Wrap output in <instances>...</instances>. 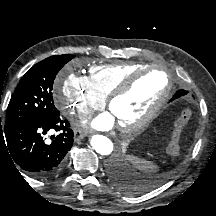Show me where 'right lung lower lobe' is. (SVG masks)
Wrapping results in <instances>:
<instances>
[{
  "instance_id": "1",
  "label": "right lung lower lobe",
  "mask_w": 216,
  "mask_h": 216,
  "mask_svg": "<svg viewBox=\"0 0 216 216\" xmlns=\"http://www.w3.org/2000/svg\"><path fill=\"white\" fill-rule=\"evenodd\" d=\"M60 131L46 140L45 134ZM73 131L59 115L37 118L0 128V148L19 167L36 178H51L62 171L65 156L73 145Z\"/></svg>"
}]
</instances>
